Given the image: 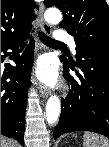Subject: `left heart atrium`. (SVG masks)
Here are the masks:
<instances>
[{
    "instance_id": "left-heart-atrium-1",
    "label": "left heart atrium",
    "mask_w": 109,
    "mask_h": 147,
    "mask_svg": "<svg viewBox=\"0 0 109 147\" xmlns=\"http://www.w3.org/2000/svg\"><path fill=\"white\" fill-rule=\"evenodd\" d=\"M37 76L44 84L54 86L58 79V71L55 62L50 58L42 59L38 65Z\"/></svg>"
}]
</instances>
